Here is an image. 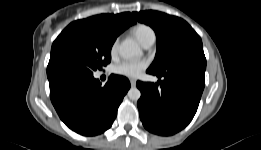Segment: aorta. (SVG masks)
I'll return each mask as SVG.
<instances>
[{"label":"aorta","mask_w":261,"mask_h":150,"mask_svg":"<svg viewBox=\"0 0 261 150\" xmlns=\"http://www.w3.org/2000/svg\"><path fill=\"white\" fill-rule=\"evenodd\" d=\"M119 54L125 59H130L141 56L142 50L135 41L126 39L119 46ZM127 95L131 100L137 101L141 97V92L137 87H131Z\"/></svg>","instance_id":"aorta-1"}]
</instances>
